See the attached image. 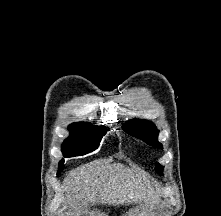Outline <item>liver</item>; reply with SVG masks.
I'll use <instances>...</instances> for the list:
<instances>
[{"instance_id":"1","label":"liver","mask_w":221,"mask_h":216,"mask_svg":"<svg viewBox=\"0 0 221 216\" xmlns=\"http://www.w3.org/2000/svg\"><path fill=\"white\" fill-rule=\"evenodd\" d=\"M63 191L69 206L77 208L91 202L120 205L151 202L153 189L149 183L135 178L124 165L93 161L72 171L65 179ZM153 203V201H152Z\"/></svg>"}]
</instances>
